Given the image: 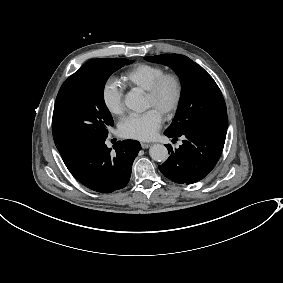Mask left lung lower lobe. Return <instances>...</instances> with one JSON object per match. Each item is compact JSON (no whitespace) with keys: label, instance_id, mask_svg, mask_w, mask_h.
<instances>
[{"label":"left lung lower lobe","instance_id":"0a47b994","mask_svg":"<svg viewBox=\"0 0 283 283\" xmlns=\"http://www.w3.org/2000/svg\"><path fill=\"white\" fill-rule=\"evenodd\" d=\"M227 131H188L168 137H185L178 149L166 145L171 153L159 166L163 175L179 184H192L203 179L216 165L225 143Z\"/></svg>","mask_w":283,"mask_h":283}]
</instances>
